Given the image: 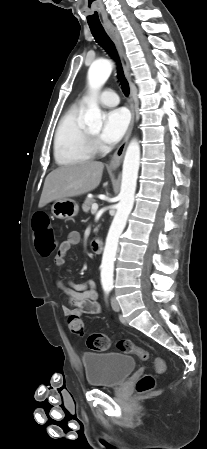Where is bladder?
Returning a JSON list of instances; mask_svg holds the SVG:
<instances>
[{
    "instance_id": "obj_1",
    "label": "bladder",
    "mask_w": 207,
    "mask_h": 449,
    "mask_svg": "<svg viewBox=\"0 0 207 449\" xmlns=\"http://www.w3.org/2000/svg\"><path fill=\"white\" fill-rule=\"evenodd\" d=\"M82 364L87 383L92 387H116L136 368L133 357L118 352H86Z\"/></svg>"
}]
</instances>
